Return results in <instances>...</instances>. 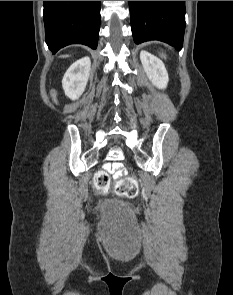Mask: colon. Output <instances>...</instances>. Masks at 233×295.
Here are the masks:
<instances>
[{"label":"colon","instance_id":"1","mask_svg":"<svg viewBox=\"0 0 233 295\" xmlns=\"http://www.w3.org/2000/svg\"><path fill=\"white\" fill-rule=\"evenodd\" d=\"M94 187L100 191H107L110 176L106 171H98L93 179ZM138 181L134 177H125L116 186V193L124 198H134L138 194Z\"/></svg>","mask_w":233,"mask_h":295}]
</instances>
